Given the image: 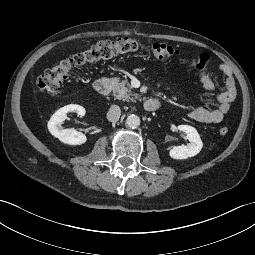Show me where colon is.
<instances>
[{"label": "colon", "mask_w": 255, "mask_h": 255, "mask_svg": "<svg viewBox=\"0 0 255 255\" xmlns=\"http://www.w3.org/2000/svg\"><path fill=\"white\" fill-rule=\"evenodd\" d=\"M137 51L146 52L158 60H172L180 56L179 52L173 47L160 42L145 45L132 38H122L116 41H99L84 51L74 54L45 70L38 78V87L43 92L56 95L59 93L63 82L77 67L99 60L110 59L119 54ZM181 60L192 64L199 74L204 72L210 61L207 55L192 57L188 54L184 55ZM219 133L226 135L228 128L225 126L221 127Z\"/></svg>", "instance_id": "colon-1"}]
</instances>
